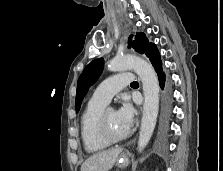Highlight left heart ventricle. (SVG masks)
<instances>
[{
    "mask_svg": "<svg viewBox=\"0 0 223 171\" xmlns=\"http://www.w3.org/2000/svg\"><path fill=\"white\" fill-rule=\"evenodd\" d=\"M106 122L108 131L113 137H121L128 132L118 119L116 111L112 109L107 112Z\"/></svg>",
    "mask_w": 223,
    "mask_h": 171,
    "instance_id": "obj_1",
    "label": "left heart ventricle"
}]
</instances>
